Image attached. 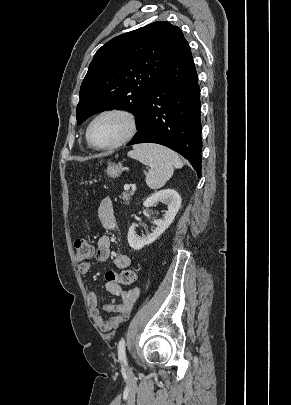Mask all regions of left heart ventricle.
I'll use <instances>...</instances> for the list:
<instances>
[{"instance_id": "b2bd125f", "label": "left heart ventricle", "mask_w": 291, "mask_h": 405, "mask_svg": "<svg viewBox=\"0 0 291 405\" xmlns=\"http://www.w3.org/2000/svg\"><path fill=\"white\" fill-rule=\"evenodd\" d=\"M126 121L116 115H107L97 120L91 128L90 139L95 146L110 145L126 132Z\"/></svg>"}]
</instances>
